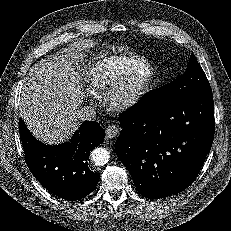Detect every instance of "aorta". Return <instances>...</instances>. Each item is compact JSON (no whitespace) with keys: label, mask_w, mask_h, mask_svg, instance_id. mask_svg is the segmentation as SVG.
I'll return each instance as SVG.
<instances>
[{"label":"aorta","mask_w":231,"mask_h":231,"mask_svg":"<svg viewBox=\"0 0 231 231\" xmlns=\"http://www.w3.org/2000/svg\"><path fill=\"white\" fill-rule=\"evenodd\" d=\"M110 155L108 150L102 147L94 149L91 153V160L97 166H103L109 161Z\"/></svg>","instance_id":"aorta-1"}]
</instances>
